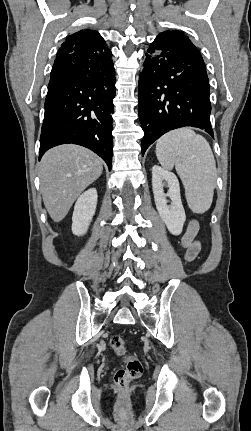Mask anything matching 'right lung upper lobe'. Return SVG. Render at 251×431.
Masks as SVG:
<instances>
[{
	"instance_id": "right-lung-upper-lobe-1",
	"label": "right lung upper lobe",
	"mask_w": 251,
	"mask_h": 431,
	"mask_svg": "<svg viewBox=\"0 0 251 431\" xmlns=\"http://www.w3.org/2000/svg\"><path fill=\"white\" fill-rule=\"evenodd\" d=\"M86 48H92L97 52L111 54L102 36L97 31L91 29L80 30L70 35L61 45L59 51L70 54Z\"/></svg>"
}]
</instances>
